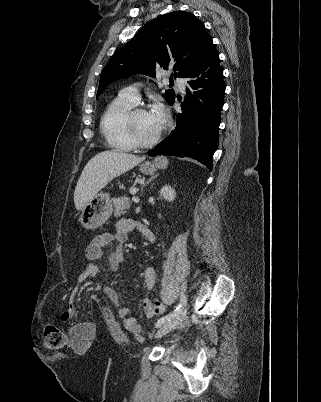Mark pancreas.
I'll return each instance as SVG.
<instances>
[{
	"mask_svg": "<svg viewBox=\"0 0 321 402\" xmlns=\"http://www.w3.org/2000/svg\"><path fill=\"white\" fill-rule=\"evenodd\" d=\"M113 203H114V208H115L114 216L116 218L121 217L122 215L126 214L131 206V201L128 197L114 199Z\"/></svg>",
	"mask_w": 321,
	"mask_h": 402,
	"instance_id": "pancreas-1",
	"label": "pancreas"
}]
</instances>
